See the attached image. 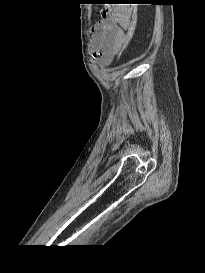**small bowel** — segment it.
Instances as JSON below:
<instances>
[{
	"mask_svg": "<svg viewBox=\"0 0 205 273\" xmlns=\"http://www.w3.org/2000/svg\"><path fill=\"white\" fill-rule=\"evenodd\" d=\"M130 24V13L120 7L110 6L103 11V18L91 32L93 58L98 65L107 66L113 61L127 40Z\"/></svg>",
	"mask_w": 205,
	"mask_h": 273,
	"instance_id": "1",
	"label": "small bowel"
}]
</instances>
